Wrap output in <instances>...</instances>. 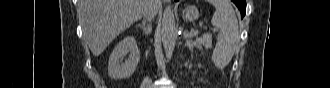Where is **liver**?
Here are the masks:
<instances>
[{
	"label": "liver",
	"instance_id": "6515ba94",
	"mask_svg": "<svg viewBox=\"0 0 330 88\" xmlns=\"http://www.w3.org/2000/svg\"><path fill=\"white\" fill-rule=\"evenodd\" d=\"M149 0H79L77 10L83 37L94 56L100 55L117 35L138 21ZM160 0H154L156 12Z\"/></svg>",
	"mask_w": 330,
	"mask_h": 88
}]
</instances>
